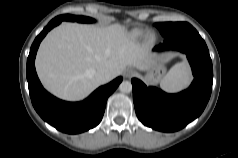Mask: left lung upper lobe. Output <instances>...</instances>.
<instances>
[{
  "label": "left lung upper lobe",
  "instance_id": "5c2ea615",
  "mask_svg": "<svg viewBox=\"0 0 238 158\" xmlns=\"http://www.w3.org/2000/svg\"><path fill=\"white\" fill-rule=\"evenodd\" d=\"M155 26L159 29L160 33L164 38L170 37L175 33L183 31L192 27L186 22H166V23H156Z\"/></svg>",
  "mask_w": 238,
  "mask_h": 158
}]
</instances>
